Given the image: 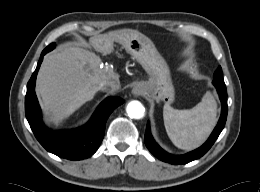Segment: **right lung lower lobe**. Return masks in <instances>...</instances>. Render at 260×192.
Returning <instances> with one entry per match:
<instances>
[{
  "label": "right lung lower lobe",
  "mask_w": 260,
  "mask_h": 192,
  "mask_svg": "<svg viewBox=\"0 0 260 192\" xmlns=\"http://www.w3.org/2000/svg\"><path fill=\"white\" fill-rule=\"evenodd\" d=\"M49 52L41 53L37 68L32 74L25 97V113L29 125L40 144L49 152L65 159L82 160L93 155L102 142L105 125L112 111L124 100L119 97L105 99L95 111L91 120L83 127L73 130L49 131L41 120V110L34 91L36 76L43 60Z\"/></svg>",
  "instance_id": "98d812e1"
}]
</instances>
